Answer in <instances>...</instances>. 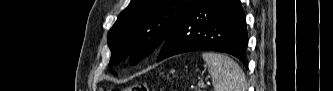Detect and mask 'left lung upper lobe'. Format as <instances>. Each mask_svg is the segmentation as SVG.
Returning a JSON list of instances; mask_svg holds the SVG:
<instances>
[{"mask_svg":"<svg viewBox=\"0 0 333 91\" xmlns=\"http://www.w3.org/2000/svg\"><path fill=\"white\" fill-rule=\"evenodd\" d=\"M198 0H131L108 33L111 61L138 63L160 47ZM112 73L116 74L112 69Z\"/></svg>","mask_w":333,"mask_h":91,"instance_id":"left-lung-upper-lobe-1","label":"left lung upper lobe"}]
</instances>
